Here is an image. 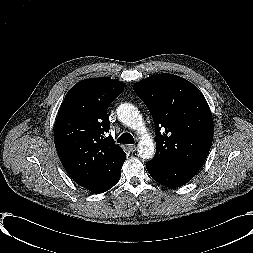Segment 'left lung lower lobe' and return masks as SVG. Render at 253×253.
<instances>
[{
  "instance_id": "left-lung-lower-lobe-1",
  "label": "left lung lower lobe",
  "mask_w": 253,
  "mask_h": 253,
  "mask_svg": "<svg viewBox=\"0 0 253 253\" xmlns=\"http://www.w3.org/2000/svg\"><path fill=\"white\" fill-rule=\"evenodd\" d=\"M146 168L156 182L170 188L187 183L199 170L198 168L166 166L151 162L146 163Z\"/></svg>"
}]
</instances>
